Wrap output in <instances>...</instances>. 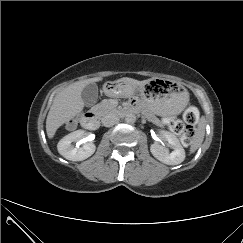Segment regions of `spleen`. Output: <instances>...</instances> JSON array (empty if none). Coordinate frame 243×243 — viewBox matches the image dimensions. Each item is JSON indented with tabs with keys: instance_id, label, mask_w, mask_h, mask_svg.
Wrapping results in <instances>:
<instances>
[{
	"instance_id": "spleen-1",
	"label": "spleen",
	"mask_w": 243,
	"mask_h": 243,
	"mask_svg": "<svg viewBox=\"0 0 243 243\" xmlns=\"http://www.w3.org/2000/svg\"><path fill=\"white\" fill-rule=\"evenodd\" d=\"M205 125H206L205 118L202 117L195 130V134L193 136L191 146H190V153H194L201 146L205 136Z\"/></svg>"
}]
</instances>
